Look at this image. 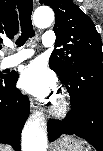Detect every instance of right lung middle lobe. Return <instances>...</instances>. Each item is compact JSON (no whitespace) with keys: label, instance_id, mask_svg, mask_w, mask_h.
Returning <instances> with one entry per match:
<instances>
[{"label":"right lung middle lobe","instance_id":"1","mask_svg":"<svg viewBox=\"0 0 103 151\" xmlns=\"http://www.w3.org/2000/svg\"><path fill=\"white\" fill-rule=\"evenodd\" d=\"M8 76H10V74H8V75H2V73H1V71H0V78H6V77H8Z\"/></svg>","mask_w":103,"mask_h":151}]
</instances>
